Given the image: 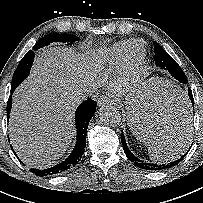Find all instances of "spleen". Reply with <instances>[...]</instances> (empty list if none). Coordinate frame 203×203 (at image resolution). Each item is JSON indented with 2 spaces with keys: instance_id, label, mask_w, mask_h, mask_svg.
<instances>
[{
  "instance_id": "obj_1",
  "label": "spleen",
  "mask_w": 203,
  "mask_h": 203,
  "mask_svg": "<svg viewBox=\"0 0 203 203\" xmlns=\"http://www.w3.org/2000/svg\"><path fill=\"white\" fill-rule=\"evenodd\" d=\"M143 98L150 102V104L153 107H156L160 112L163 111L160 114H179V112L184 111V106H187L189 109V101L186 97V93L169 80H157L152 82L143 93ZM136 116L139 119L138 112ZM142 124H145V122H142ZM132 131L134 135L148 147L150 159L157 163H167L180 158L188 148L190 142V130H187L186 133L178 139L169 140L160 147L149 143L146 140V137L135 129H132Z\"/></svg>"
}]
</instances>
